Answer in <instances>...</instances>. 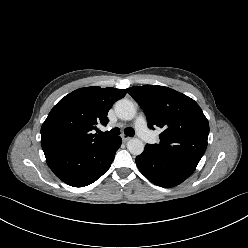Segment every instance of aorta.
<instances>
[{
    "label": "aorta",
    "mask_w": 248,
    "mask_h": 248,
    "mask_svg": "<svg viewBox=\"0 0 248 248\" xmlns=\"http://www.w3.org/2000/svg\"><path fill=\"white\" fill-rule=\"evenodd\" d=\"M115 112L122 120H132L136 114V108L132 101L121 99L115 104ZM127 149L133 155H140L144 151V143L138 138H132L127 143Z\"/></svg>",
    "instance_id": "aorta-1"
}]
</instances>
